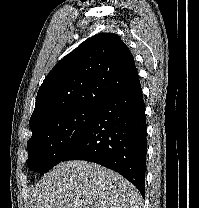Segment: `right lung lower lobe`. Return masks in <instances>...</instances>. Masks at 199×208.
I'll use <instances>...</instances> for the list:
<instances>
[{"label": "right lung lower lobe", "mask_w": 199, "mask_h": 208, "mask_svg": "<svg viewBox=\"0 0 199 208\" xmlns=\"http://www.w3.org/2000/svg\"><path fill=\"white\" fill-rule=\"evenodd\" d=\"M145 104L139 79L98 106L90 125L62 161L86 160L115 170L145 196Z\"/></svg>", "instance_id": "right-lung-lower-lobe-1"}]
</instances>
